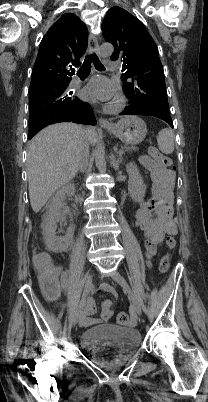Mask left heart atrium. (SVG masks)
<instances>
[{
	"instance_id": "obj_1",
	"label": "left heart atrium",
	"mask_w": 208,
	"mask_h": 402,
	"mask_svg": "<svg viewBox=\"0 0 208 402\" xmlns=\"http://www.w3.org/2000/svg\"><path fill=\"white\" fill-rule=\"evenodd\" d=\"M115 91V85L108 78L97 75L81 89L80 96L87 102L105 101L115 94Z\"/></svg>"
}]
</instances>
